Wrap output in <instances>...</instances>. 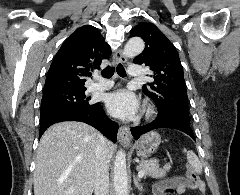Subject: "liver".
<instances>
[{
	"label": "liver",
	"mask_w": 240,
	"mask_h": 195,
	"mask_svg": "<svg viewBox=\"0 0 240 195\" xmlns=\"http://www.w3.org/2000/svg\"><path fill=\"white\" fill-rule=\"evenodd\" d=\"M102 137L82 121H60L48 127L37 149L34 195H92L96 149ZM114 149L110 141L109 161Z\"/></svg>",
	"instance_id": "obj_1"
}]
</instances>
